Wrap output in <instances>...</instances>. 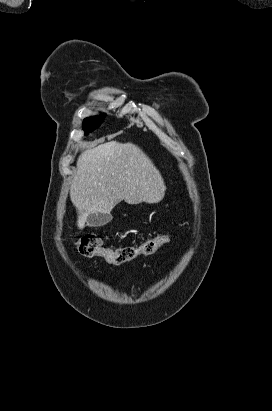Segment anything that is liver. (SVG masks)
<instances>
[{
  "label": "liver",
  "mask_w": 272,
  "mask_h": 411,
  "mask_svg": "<svg viewBox=\"0 0 272 411\" xmlns=\"http://www.w3.org/2000/svg\"><path fill=\"white\" fill-rule=\"evenodd\" d=\"M165 191L159 170L137 145L111 141L81 153L70 199L77 226L83 229L90 212L110 214L122 200L131 205L158 203Z\"/></svg>",
  "instance_id": "obj_1"
}]
</instances>
